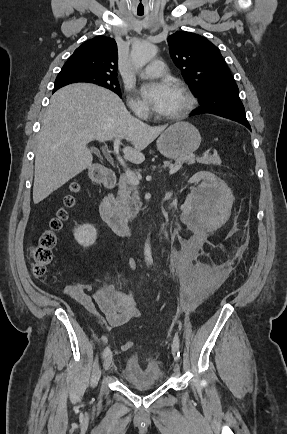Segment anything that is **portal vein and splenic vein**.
<instances>
[{
  "mask_svg": "<svg viewBox=\"0 0 287 434\" xmlns=\"http://www.w3.org/2000/svg\"><path fill=\"white\" fill-rule=\"evenodd\" d=\"M119 145H120V139H115V141H114V153H115L119 163L124 168H126V164H125L123 158L119 155ZM181 166H182V162H179L176 165L171 166L170 171H169V175L175 174L180 169ZM125 175H126V177L130 183H132L134 185L139 184V179L137 178L136 174L134 172H132L131 170H129V169L125 170Z\"/></svg>",
  "mask_w": 287,
  "mask_h": 434,
  "instance_id": "18ae733b",
  "label": "portal vein and splenic vein"
}]
</instances>
